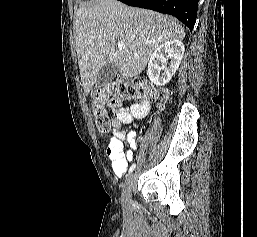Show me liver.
<instances>
[{
	"instance_id": "6515ba94",
	"label": "liver",
	"mask_w": 257,
	"mask_h": 237,
	"mask_svg": "<svg viewBox=\"0 0 257 237\" xmlns=\"http://www.w3.org/2000/svg\"><path fill=\"white\" fill-rule=\"evenodd\" d=\"M74 28L86 95L107 63H114L124 78H132L145 69L159 45L185 37L184 28L174 17L128 7L117 0H98L92 6H80ZM117 41L124 42L125 48L119 50Z\"/></svg>"
}]
</instances>
